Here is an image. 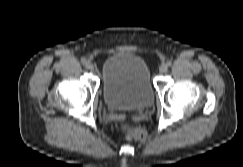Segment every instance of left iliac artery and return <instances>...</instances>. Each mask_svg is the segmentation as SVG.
I'll return each instance as SVG.
<instances>
[{
    "instance_id": "1",
    "label": "left iliac artery",
    "mask_w": 243,
    "mask_h": 167,
    "mask_svg": "<svg viewBox=\"0 0 243 167\" xmlns=\"http://www.w3.org/2000/svg\"><path fill=\"white\" fill-rule=\"evenodd\" d=\"M171 64H172L171 61H168V62L166 63L167 66H171Z\"/></svg>"
}]
</instances>
